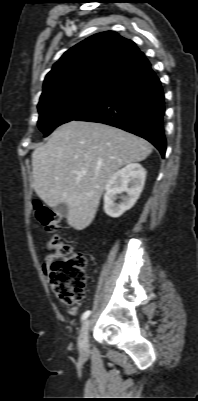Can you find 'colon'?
I'll return each instance as SVG.
<instances>
[{
  "label": "colon",
  "mask_w": 198,
  "mask_h": 401,
  "mask_svg": "<svg viewBox=\"0 0 198 401\" xmlns=\"http://www.w3.org/2000/svg\"><path fill=\"white\" fill-rule=\"evenodd\" d=\"M34 216L47 232L53 234L47 241V247L56 257L50 271V285L54 293L68 305L82 302L86 293V258L81 253H75L57 233L62 221L58 213L35 202Z\"/></svg>",
  "instance_id": "5ec220e1"
}]
</instances>
